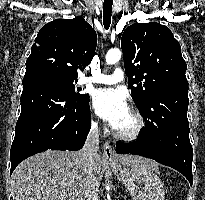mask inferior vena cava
<instances>
[{
  "mask_svg": "<svg viewBox=\"0 0 205 200\" xmlns=\"http://www.w3.org/2000/svg\"><path fill=\"white\" fill-rule=\"evenodd\" d=\"M99 148V131L96 122H92L86 142L80 150L81 164L86 174V186L84 190V200H99V183L92 178V169L95 166V157Z\"/></svg>",
  "mask_w": 205,
  "mask_h": 200,
  "instance_id": "inferior-vena-cava-1",
  "label": "inferior vena cava"
}]
</instances>
